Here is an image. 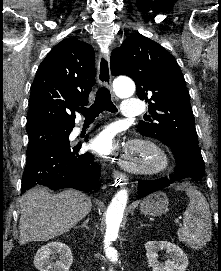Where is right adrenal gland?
<instances>
[{
    "label": "right adrenal gland",
    "mask_w": 221,
    "mask_h": 271,
    "mask_svg": "<svg viewBox=\"0 0 221 271\" xmlns=\"http://www.w3.org/2000/svg\"><path fill=\"white\" fill-rule=\"evenodd\" d=\"M89 219H90V217H87V219H85V221H83V223H81L80 227H86V229H89V227H88Z\"/></svg>",
    "instance_id": "right-adrenal-gland-1"
}]
</instances>
